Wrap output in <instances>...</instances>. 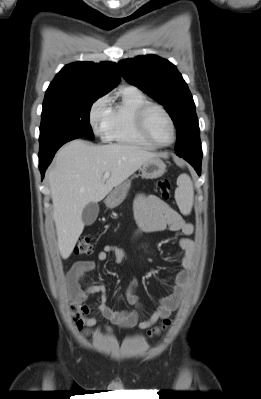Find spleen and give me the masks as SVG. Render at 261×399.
Masks as SVG:
<instances>
[{"mask_svg": "<svg viewBox=\"0 0 261 399\" xmlns=\"http://www.w3.org/2000/svg\"><path fill=\"white\" fill-rule=\"evenodd\" d=\"M178 188L175 191V200L182 214H190L194 201V190L191 178L182 174L177 179Z\"/></svg>", "mask_w": 261, "mask_h": 399, "instance_id": "spleen-1", "label": "spleen"}]
</instances>
